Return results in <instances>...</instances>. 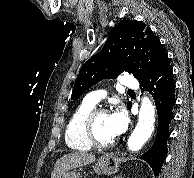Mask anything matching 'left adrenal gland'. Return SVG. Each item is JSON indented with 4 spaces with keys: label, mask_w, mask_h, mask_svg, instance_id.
I'll return each mask as SVG.
<instances>
[{
    "label": "left adrenal gland",
    "mask_w": 194,
    "mask_h": 178,
    "mask_svg": "<svg viewBox=\"0 0 194 178\" xmlns=\"http://www.w3.org/2000/svg\"><path fill=\"white\" fill-rule=\"evenodd\" d=\"M113 178H123V177H122V176H118V177H117V176H115V177H113Z\"/></svg>",
    "instance_id": "obj_1"
}]
</instances>
